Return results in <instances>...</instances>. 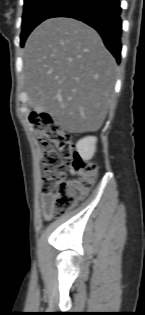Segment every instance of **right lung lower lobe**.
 I'll return each mask as SVG.
<instances>
[{"label":"right lung lower lobe","instance_id":"98d812e1","mask_svg":"<svg viewBox=\"0 0 145 315\" xmlns=\"http://www.w3.org/2000/svg\"><path fill=\"white\" fill-rule=\"evenodd\" d=\"M119 0H65L48 18L69 17L90 25L120 63L122 20ZM47 18V19H48Z\"/></svg>","mask_w":145,"mask_h":315}]
</instances>
